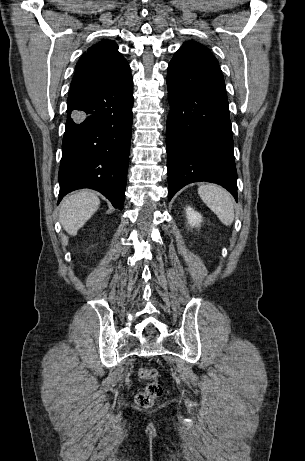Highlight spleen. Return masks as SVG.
I'll list each match as a JSON object with an SVG mask.
<instances>
[{"instance_id": "obj_1", "label": "spleen", "mask_w": 305, "mask_h": 461, "mask_svg": "<svg viewBox=\"0 0 305 461\" xmlns=\"http://www.w3.org/2000/svg\"><path fill=\"white\" fill-rule=\"evenodd\" d=\"M198 194L223 224H232L234 221L233 200L224 188L216 184H206L198 188Z\"/></svg>"}]
</instances>
